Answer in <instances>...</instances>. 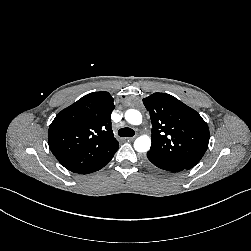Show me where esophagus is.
<instances>
[{
  "label": "esophagus",
  "mask_w": 251,
  "mask_h": 251,
  "mask_svg": "<svg viewBox=\"0 0 251 251\" xmlns=\"http://www.w3.org/2000/svg\"><path fill=\"white\" fill-rule=\"evenodd\" d=\"M137 138V136H133V137H127L126 140L127 141H133Z\"/></svg>",
  "instance_id": "34e87169"
}]
</instances>
